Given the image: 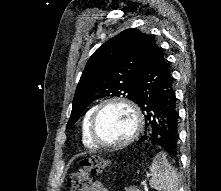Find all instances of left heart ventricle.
<instances>
[{
	"mask_svg": "<svg viewBox=\"0 0 221 191\" xmlns=\"http://www.w3.org/2000/svg\"><path fill=\"white\" fill-rule=\"evenodd\" d=\"M134 128L133 114L118 104L106 106L97 119L96 131L99 138L107 143L126 139Z\"/></svg>",
	"mask_w": 221,
	"mask_h": 191,
	"instance_id": "b2bd125f",
	"label": "left heart ventricle"
}]
</instances>
